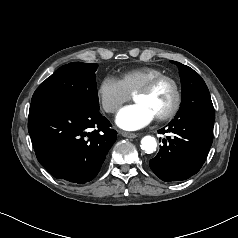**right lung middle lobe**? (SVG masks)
Returning a JSON list of instances; mask_svg holds the SVG:
<instances>
[{
	"mask_svg": "<svg viewBox=\"0 0 238 238\" xmlns=\"http://www.w3.org/2000/svg\"><path fill=\"white\" fill-rule=\"evenodd\" d=\"M97 67L81 62L60 67L36 89L32 102H71L99 110Z\"/></svg>",
	"mask_w": 238,
	"mask_h": 238,
	"instance_id": "right-lung-middle-lobe-1",
	"label": "right lung middle lobe"
}]
</instances>
